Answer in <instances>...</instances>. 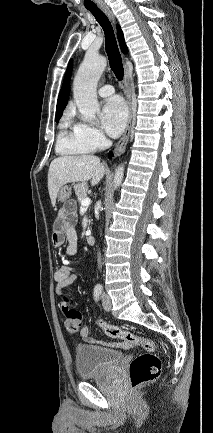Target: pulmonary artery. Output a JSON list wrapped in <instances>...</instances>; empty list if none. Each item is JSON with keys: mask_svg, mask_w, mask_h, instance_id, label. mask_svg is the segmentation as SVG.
Returning a JSON list of instances; mask_svg holds the SVG:
<instances>
[{"mask_svg": "<svg viewBox=\"0 0 213 433\" xmlns=\"http://www.w3.org/2000/svg\"><path fill=\"white\" fill-rule=\"evenodd\" d=\"M114 93V87L112 85H104L98 89V94L101 97H108Z\"/></svg>", "mask_w": 213, "mask_h": 433, "instance_id": "e3ab8cb5", "label": "pulmonary artery"}]
</instances>
